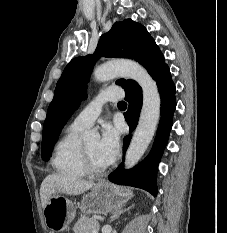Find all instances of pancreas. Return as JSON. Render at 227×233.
Masks as SVG:
<instances>
[{"label":"pancreas","instance_id":"cf45deb5","mask_svg":"<svg viewBox=\"0 0 227 233\" xmlns=\"http://www.w3.org/2000/svg\"><path fill=\"white\" fill-rule=\"evenodd\" d=\"M99 223L94 218L87 216H81L76 222L73 230L75 233H94L99 230Z\"/></svg>","mask_w":227,"mask_h":233}]
</instances>
